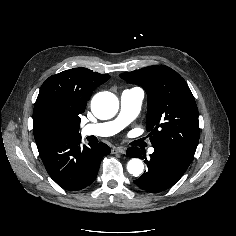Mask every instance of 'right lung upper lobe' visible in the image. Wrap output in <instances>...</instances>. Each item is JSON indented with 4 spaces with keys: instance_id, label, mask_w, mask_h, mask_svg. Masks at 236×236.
<instances>
[{
    "instance_id": "1",
    "label": "right lung upper lobe",
    "mask_w": 236,
    "mask_h": 236,
    "mask_svg": "<svg viewBox=\"0 0 236 236\" xmlns=\"http://www.w3.org/2000/svg\"><path fill=\"white\" fill-rule=\"evenodd\" d=\"M110 78L86 68L63 71L42 84L33 110L36 143L50 139L46 123L54 120L61 130L79 133L80 117L92 92Z\"/></svg>"
}]
</instances>
